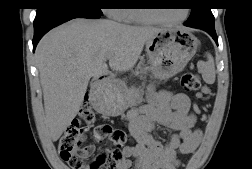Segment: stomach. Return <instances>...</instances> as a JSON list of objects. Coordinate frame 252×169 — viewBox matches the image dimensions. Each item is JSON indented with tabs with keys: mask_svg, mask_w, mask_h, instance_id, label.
Masks as SVG:
<instances>
[{
	"mask_svg": "<svg viewBox=\"0 0 252 169\" xmlns=\"http://www.w3.org/2000/svg\"><path fill=\"white\" fill-rule=\"evenodd\" d=\"M198 40L189 31L164 28L146 42L149 69L159 80L181 72L197 51ZM98 109L109 116H118L129 107L143 102V92L135 87L115 82L103 86L95 95Z\"/></svg>",
	"mask_w": 252,
	"mask_h": 169,
	"instance_id": "stomach-1",
	"label": "stomach"
}]
</instances>
